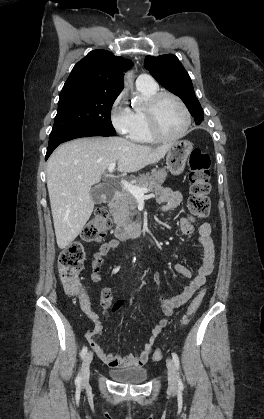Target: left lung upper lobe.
Here are the masks:
<instances>
[{
  "mask_svg": "<svg viewBox=\"0 0 264 419\" xmlns=\"http://www.w3.org/2000/svg\"><path fill=\"white\" fill-rule=\"evenodd\" d=\"M144 66L163 87L182 99L195 120L203 117L191 79L175 55L146 56Z\"/></svg>",
  "mask_w": 264,
  "mask_h": 419,
  "instance_id": "1",
  "label": "left lung upper lobe"
}]
</instances>
